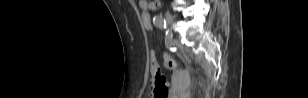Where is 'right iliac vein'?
Masks as SVG:
<instances>
[{"instance_id": "63e3f726", "label": "right iliac vein", "mask_w": 308, "mask_h": 98, "mask_svg": "<svg viewBox=\"0 0 308 98\" xmlns=\"http://www.w3.org/2000/svg\"><path fill=\"white\" fill-rule=\"evenodd\" d=\"M165 20H166L168 26H171V25H172V23H173V17H172V15H171L169 12H166V13H165Z\"/></svg>"}]
</instances>
